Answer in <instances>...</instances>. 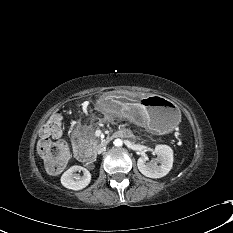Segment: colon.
Here are the masks:
<instances>
[{
    "label": "colon",
    "mask_w": 233,
    "mask_h": 233,
    "mask_svg": "<svg viewBox=\"0 0 233 233\" xmlns=\"http://www.w3.org/2000/svg\"><path fill=\"white\" fill-rule=\"evenodd\" d=\"M63 114L54 112L42 126L43 139L38 145V152L50 173H58L64 169L69 159V149L65 142L53 141L50 137L59 134L62 130Z\"/></svg>",
    "instance_id": "1"
}]
</instances>
